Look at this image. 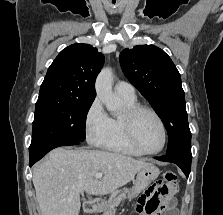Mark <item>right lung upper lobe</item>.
Returning <instances> with one entry per match:
<instances>
[{
    "mask_svg": "<svg viewBox=\"0 0 223 215\" xmlns=\"http://www.w3.org/2000/svg\"><path fill=\"white\" fill-rule=\"evenodd\" d=\"M103 64V54L91 45L66 47L48 68L39 97L93 102L95 80Z\"/></svg>",
    "mask_w": 223,
    "mask_h": 215,
    "instance_id": "cb5924a9",
    "label": "right lung upper lobe"
}]
</instances>
